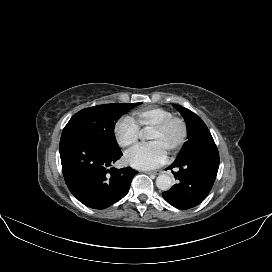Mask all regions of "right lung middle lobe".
Segmentation results:
<instances>
[{"label":"right lung middle lobe","instance_id":"right-lung-middle-lobe-1","mask_svg":"<svg viewBox=\"0 0 272 272\" xmlns=\"http://www.w3.org/2000/svg\"><path fill=\"white\" fill-rule=\"evenodd\" d=\"M140 104H104L85 108L69 120L62 136L83 135L110 149H120L114 136V126L123 114Z\"/></svg>","mask_w":272,"mask_h":272}]
</instances>
